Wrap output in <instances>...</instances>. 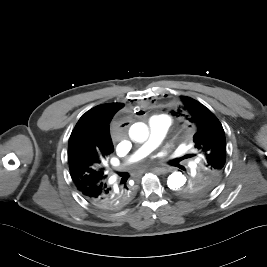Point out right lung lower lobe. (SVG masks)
I'll return each mask as SVG.
<instances>
[{
	"mask_svg": "<svg viewBox=\"0 0 267 267\" xmlns=\"http://www.w3.org/2000/svg\"><path fill=\"white\" fill-rule=\"evenodd\" d=\"M78 190L87 201L106 210L119 209L126 205L132 197L128 186L114 187L107 183L106 178L94 184H86Z\"/></svg>",
	"mask_w": 267,
	"mask_h": 267,
	"instance_id": "obj_1",
	"label": "right lung lower lobe"
}]
</instances>
